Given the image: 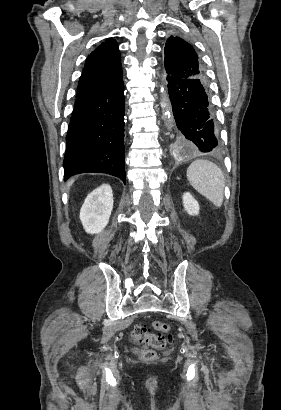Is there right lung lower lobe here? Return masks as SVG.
<instances>
[{"label": "right lung lower lobe", "instance_id": "obj_1", "mask_svg": "<svg viewBox=\"0 0 281 410\" xmlns=\"http://www.w3.org/2000/svg\"><path fill=\"white\" fill-rule=\"evenodd\" d=\"M124 85L77 99L66 136L64 178L102 172L126 183Z\"/></svg>", "mask_w": 281, "mask_h": 410}]
</instances>
